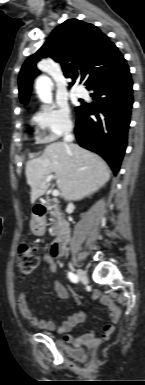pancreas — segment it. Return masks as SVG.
Here are the masks:
<instances>
[{"instance_id": "cf45deb5", "label": "pancreas", "mask_w": 145, "mask_h": 385, "mask_svg": "<svg viewBox=\"0 0 145 385\" xmlns=\"http://www.w3.org/2000/svg\"><path fill=\"white\" fill-rule=\"evenodd\" d=\"M50 215L53 216V217H55V218H58L55 211H51V212H50ZM53 222H55V225H56V226L58 225V222H57L56 219H53Z\"/></svg>"}]
</instances>
